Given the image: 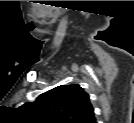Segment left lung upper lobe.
Segmentation results:
<instances>
[{
  "instance_id": "5c2ea615",
  "label": "left lung upper lobe",
  "mask_w": 134,
  "mask_h": 123,
  "mask_svg": "<svg viewBox=\"0 0 134 123\" xmlns=\"http://www.w3.org/2000/svg\"><path fill=\"white\" fill-rule=\"evenodd\" d=\"M32 115L58 123H94L89 95L78 85L57 86L23 105Z\"/></svg>"
}]
</instances>
